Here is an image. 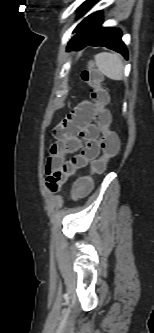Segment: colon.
<instances>
[{
  "instance_id": "1",
  "label": "colon",
  "mask_w": 154,
  "mask_h": 333,
  "mask_svg": "<svg viewBox=\"0 0 154 333\" xmlns=\"http://www.w3.org/2000/svg\"><path fill=\"white\" fill-rule=\"evenodd\" d=\"M81 79L90 88V97L96 105L95 120L102 133V155L90 163L88 172L78 177L72 184L71 197L78 200L85 197L93 187V177L105 172L110 159L115 157L120 148L118 135L110 129L111 114L106 108L109 97L102 87V75L94 67H88L81 73Z\"/></svg>"
}]
</instances>
